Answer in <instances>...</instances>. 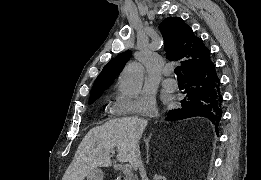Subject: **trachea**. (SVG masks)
I'll list each match as a JSON object with an SVG mask.
<instances>
[{
    "mask_svg": "<svg viewBox=\"0 0 261 180\" xmlns=\"http://www.w3.org/2000/svg\"><path fill=\"white\" fill-rule=\"evenodd\" d=\"M174 73L177 75L178 79L183 78L182 75H181V72H180V67H176Z\"/></svg>",
    "mask_w": 261,
    "mask_h": 180,
    "instance_id": "1",
    "label": "trachea"
}]
</instances>
